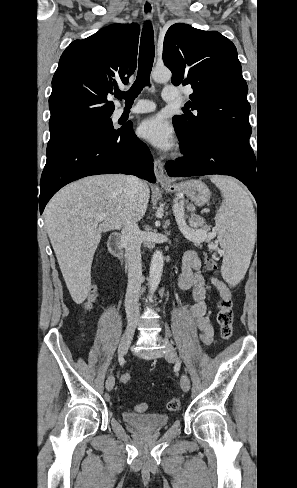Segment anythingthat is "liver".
Here are the masks:
<instances>
[{"mask_svg":"<svg viewBox=\"0 0 297 488\" xmlns=\"http://www.w3.org/2000/svg\"><path fill=\"white\" fill-rule=\"evenodd\" d=\"M123 174L96 175L73 182L47 204L44 219L66 286L75 303L81 304L91 288V265L103 232L124 224L129 203ZM132 204L133 220L144 216L150 197L146 183ZM106 214L96 221L100 214Z\"/></svg>","mask_w":297,"mask_h":488,"instance_id":"liver-1","label":"liver"}]
</instances>
